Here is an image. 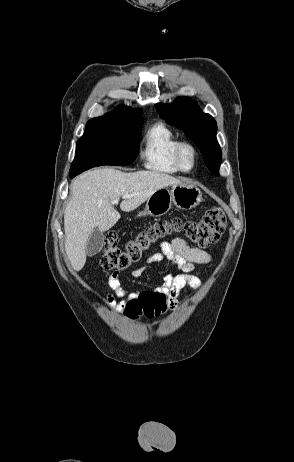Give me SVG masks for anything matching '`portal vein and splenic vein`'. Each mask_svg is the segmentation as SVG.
<instances>
[{
	"mask_svg": "<svg viewBox=\"0 0 294 462\" xmlns=\"http://www.w3.org/2000/svg\"><path fill=\"white\" fill-rule=\"evenodd\" d=\"M132 196H133V195H124L122 198L127 199V198H131ZM118 200H119V198L115 199V200L113 201V204L118 203Z\"/></svg>",
	"mask_w": 294,
	"mask_h": 462,
	"instance_id": "portal-vein-and-splenic-vein-1",
	"label": "portal vein and splenic vein"
}]
</instances>
